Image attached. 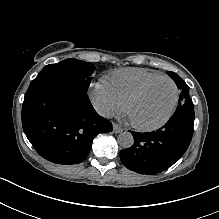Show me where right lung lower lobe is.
<instances>
[{
  "label": "right lung lower lobe",
  "mask_w": 219,
  "mask_h": 219,
  "mask_svg": "<svg viewBox=\"0 0 219 219\" xmlns=\"http://www.w3.org/2000/svg\"><path fill=\"white\" fill-rule=\"evenodd\" d=\"M23 130L35 150L58 164L82 162L111 122L94 110L86 91L60 80L32 81L22 106Z\"/></svg>",
  "instance_id": "98d812e1"
}]
</instances>
